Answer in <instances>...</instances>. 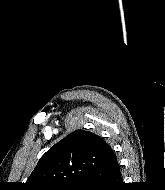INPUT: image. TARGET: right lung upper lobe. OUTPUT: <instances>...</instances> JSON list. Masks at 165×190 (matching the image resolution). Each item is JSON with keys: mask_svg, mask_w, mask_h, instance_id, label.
I'll return each instance as SVG.
<instances>
[{"mask_svg": "<svg viewBox=\"0 0 165 190\" xmlns=\"http://www.w3.org/2000/svg\"><path fill=\"white\" fill-rule=\"evenodd\" d=\"M114 157L113 150L101 137L76 130L41 157L25 187L27 190H48L81 181L87 172Z\"/></svg>", "mask_w": 165, "mask_h": 190, "instance_id": "right-lung-upper-lobe-1", "label": "right lung upper lobe"}]
</instances>
